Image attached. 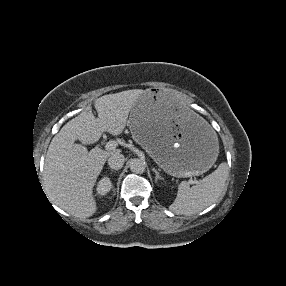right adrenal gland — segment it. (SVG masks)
<instances>
[{
    "label": "right adrenal gland",
    "mask_w": 286,
    "mask_h": 286,
    "mask_svg": "<svg viewBox=\"0 0 286 286\" xmlns=\"http://www.w3.org/2000/svg\"><path fill=\"white\" fill-rule=\"evenodd\" d=\"M108 169H110V168H108ZM110 171L115 172L113 169H110Z\"/></svg>",
    "instance_id": "2a0ac1e0"
}]
</instances>
